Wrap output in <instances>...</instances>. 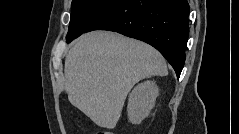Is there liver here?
<instances>
[{
	"mask_svg": "<svg viewBox=\"0 0 239 134\" xmlns=\"http://www.w3.org/2000/svg\"><path fill=\"white\" fill-rule=\"evenodd\" d=\"M70 103L96 125L113 129L132 87L150 76H166L163 56L150 45L122 35H82L65 59Z\"/></svg>",
	"mask_w": 239,
	"mask_h": 134,
	"instance_id": "6515ba94",
	"label": "liver"
}]
</instances>
